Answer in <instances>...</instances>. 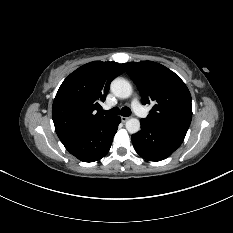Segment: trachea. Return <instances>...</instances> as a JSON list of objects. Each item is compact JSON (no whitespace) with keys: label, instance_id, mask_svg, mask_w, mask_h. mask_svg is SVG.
Here are the masks:
<instances>
[{"label":"trachea","instance_id":"3493384b","mask_svg":"<svg viewBox=\"0 0 233 233\" xmlns=\"http://www.w3.org/2000/svg\"><path fill=\"white\" fill-rule=\"evenodd\" d=\"M102 113L109 116H116L121 114L124 117H128L131 114V110L128 107H123L121 110L118 107H114L108 111H103Z\"/></svg>","mask_w":233,"mask_h":233}]
</instances>
